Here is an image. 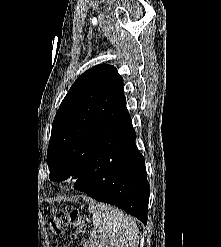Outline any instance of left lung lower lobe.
<instances>
[{
    "instance_id": "left-lung-lower-lobe-1",
    "label": "left lung lower lobe",
    "mask_w": 221,
    "mask_h": 247,
    "mask_svg": "<svg viewBox=\"0 0 221 247\" xmlns=\"http://www.w3.org/2000/svg\"><path fill=\"white\" fill-rule=\"evenodd\" d=\"M135 139L130 116L109 126L74 188L97 201L118 206L146 225L150 188L145 160Z\"/></svg>"
}]
</instances>
